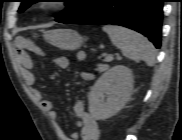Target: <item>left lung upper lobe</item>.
Returning a JSON list of instances; mask_svg holds the SVG:
<instances>
[{
	"label": "left lung upper lobe",
	"mask_w": 182,
	"mask_h": 140,
	"mask_svg": "<svg viewBox=\"0 0 182 140\" xmlns=\"http://www.w3.org/2000/svg\"><path fill=\"white\" fill-rule=\"evenodd\" d=\"M21 6L18 12H22L30 7L33 3L40 0H20ZM65 2L66 9L63 10L58 16L56 21L61 23H72L86 14L90 13L95 7H97L102 0H61Z\"/></svg>",
	"instance_id": "left-lung-upper-lobe-1"
}]
</instances>
